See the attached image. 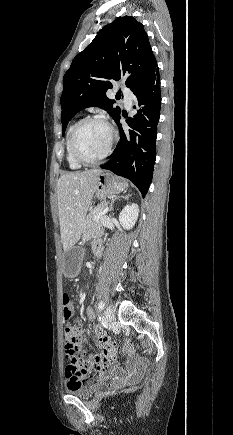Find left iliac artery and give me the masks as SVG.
I'll return each instance as SVG.
<instances>
[{
  "mask_svg": "<svg viewBox=\"0 0 233 435\" xmlns=\"http://www.w3.org/2000/svg\"><path fill=\"white\" fill-rule=\"evenodd\" d=\"M104 306H105V303H104L103 301H100V302L98 303V309H99L100 311L104 309Z\"/></svg>",
  "mask_w": 233,
  "mask_h": 435,
  "instance_id": "44dca946",
  "label": "left iliac artery"
}]
</instances>
